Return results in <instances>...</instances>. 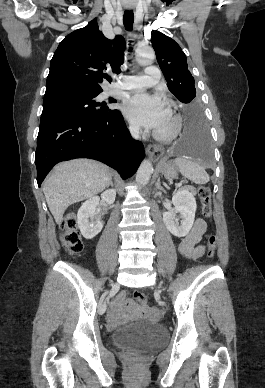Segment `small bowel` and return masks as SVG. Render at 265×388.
Here are the masks:
<instances>
[{
	"label": "small bowel",
	"mask_w": 265,
	"mask_h": 388,
	"mask_svg": "<svg viewBox=\"0 0 265 388\" xmlns=\"http://www.w3.org/2000/svg\"><path fill=\"white\" fill-rule=\"evenodd\" d=\"M205 231L206 222L201 218L196 219L189 234L182 239L179 245L180 253L184 257L189 259H196L203 255L205 248L204 246L200 245V241ZM119 302L120 300L118 303ZM110 322L112 324L117 322V316L115 313L110 315Z\"/></svg>",
	"instance_id": "obj_1"
}]
</instances>
